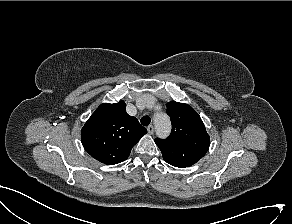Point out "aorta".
I'll return each mask as SVG.
<instances>
[{
  "mask_svg": "<svg viewBox=\"0 0 292 224\" xmlns=\"http://www.w3.org/2000/svg\"><path fill=\"white\" fill-rule=\"evenodd\" d=\"M154 125L158 136L166 137L170 133L171 122L165 113L158 112L154 115Z\"/></svg>",
  "mask_w": 292,
  "mask_h": 224,
  "instance_id": "obj_1",
  "label": "aorta"
}]
</instances>
